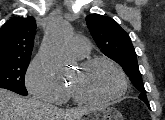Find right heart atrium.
Segmentation results:
<instances>
[{"label": "right heart atrium", "mask_w": 165, "mask_h": 120, "mask_svg": "<svg viewBox=\"0 0 165 120\" xmlns=\"http://www.w3.org/2000/svg\"><path fill=\"white\" fill-rule=\"evenodd\" d=\"M25 82L29 93L37 99L59 104L67 97V89L48 72L37 58L30 63Z\"/></svg>", "instance_id": "obj_1"}]
</instances>
